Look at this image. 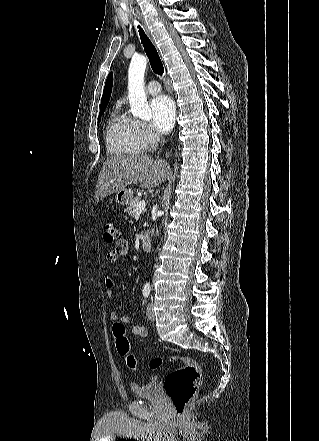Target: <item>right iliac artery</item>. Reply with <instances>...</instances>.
Returning <instances> with one entry per match:
<instances>
[{
	"instance_id": "right-iliac-artery-1",
	"label": "right iliac artery",
	"mask_w": 319,
	"mask_h": 441,
	"mask_svg": "<svg viewBox=\"0 0 319 441\" xmlns=\"http://www.w3.org/2000/svg\"><path fill=\"white\" fill-rule=\"evenodd\" d=\"M149 294H150V290H149V289H144V290H143V296H144L145 298H147V297L149 296Z\"/></svg>"
}]
</instances>
